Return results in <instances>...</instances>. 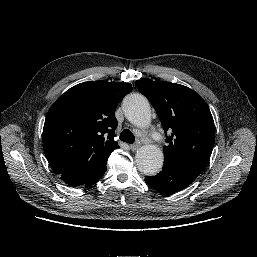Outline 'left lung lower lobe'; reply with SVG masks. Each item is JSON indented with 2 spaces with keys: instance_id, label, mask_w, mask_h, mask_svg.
<instances>
[{
  "instance_id": "0a47b994",
  "label": "left lung lower lobe",
  "mask_w": 257,
  "mask_h": 257,
  "mask_svg": "<svg viewBox=\"0 0 257 257\" xmlns=\"http://www.w3.org/2000/svg\"><path fill=\"white\" fill-rule=\"evenodd\" d=\"M197 177V174L182 166L164 162L162 171L155 176H146L145 182L162 194H172L186 188Z\"/></svg>"
}]
</instances>
